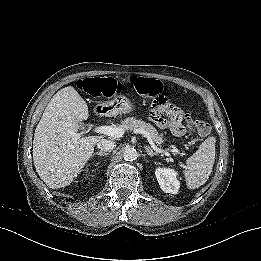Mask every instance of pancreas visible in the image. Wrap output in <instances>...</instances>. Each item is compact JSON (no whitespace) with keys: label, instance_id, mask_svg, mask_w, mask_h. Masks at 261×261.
<instances>
[{"label":"pancreas","instance_id":"pancreas-1","mask_svg":"<svg viewBox=\"0 0 261 261\" xmlns=\"http://www.w3.org/2000/svg\"><path fill=\"white\" fill-rule=\"evenodd\" d=\"M121 124L126 130L130 131H133L134 129H144L151 135L153 141L158 146H161L164 142L163 136L158 133L156 128L149 123H145L142 120H138L134 117H129L122 121Z\"/></svg>","mask_w":261,"mask_h":261}]
</instances>
